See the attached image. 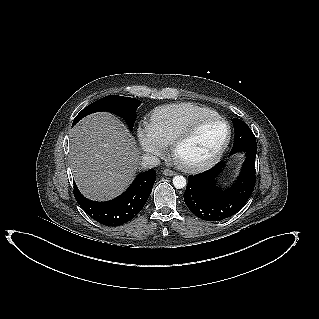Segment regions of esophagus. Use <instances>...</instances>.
Listing matches in <instances>:
<instances>
[{"instance_id": "obj_1", "label": "esophagus", "mask_w": 319, "mask_h": 319, "mask_svg": "<svg viewBox=\"0 0 319 319\" xmlns=\"http://www.w3.org/2000/svg\"><path fill=\"white\" fill-rule=\"evenodd\" d=\"M163 175H165V176H174V175H176V172H174V171H172L170 169H164L163 170Z\"/></svg>"}]
</instances>
